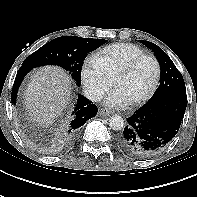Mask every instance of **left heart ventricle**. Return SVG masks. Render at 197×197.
Instances as JSON below:
<instances>
[{"instance_id":"1","label":"left heart ventricle","mask_w":197,"mask_h":197,"mask_svg":"<svg viewBox=\"0 0 197 197\" xmlns=\"http://www.w3.org/2000/svg\"><path fill=\"white\" fill-rule=\"evenodd\" d=\"M155 77V65L151 60L142 61L128 76L120 78L115 87L130 102L142 96L151 86Z\"/></svg>"}]
</instances>
